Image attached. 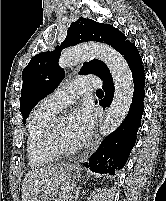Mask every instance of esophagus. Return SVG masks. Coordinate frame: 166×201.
Segmentation results:
<instances>
[{"mask_svg":"<svg viewBox=\"0 0 166 201\" xmlns=\"http://www.w3.org/2000/svg\"><path fill=\"white\" fill-rule=\"evenodd\" d=\"M107 111V110H105ZM101 142V136L98 133V130L95 134L94 139L92 140V143L90 145V147L84 152V154L81 156V158L79 159V162H84L86 161L99 147V144Z\"/></svg>","mask_w":166,"mask_h":201,"instance_id":"obj_1","label":"esophagus"}]
</instances>
